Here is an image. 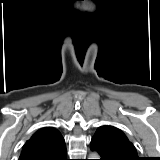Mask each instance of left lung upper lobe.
<instances>
[{
    "mask_svg": "<svg viewBox=\"0 0 160 160\" xmlns=\"http://www.w3.org/2000/svg\"><path fill=\"white\" fill-rule=\"evenodd\" d=\"M94 136L103 142L109 153L120 160H141L134 145L120 129L104 125L97 129Z\"/></svg>",
    "mask_w": 160,
    "mask_h": 160,
    "instance_id": "left-lung-upper-lobe-1",
    "label": "left lung upper lobe"
}]
</instances>
